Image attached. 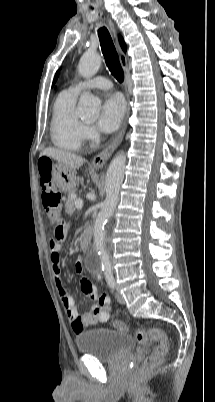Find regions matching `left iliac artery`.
Wrapping results in <instances>:
<instances>
[{
	"label": "left iliac artery",
	"instance_id": "44dca946",
	"mask_svg": "<svg viewBox=\"0 0 215 402\" xmlns=\"http://www.w3.org/2000/svg\"><path fill=\"white\" fill-rule=\"evenodd\" d=\"M107 284L111 289H114L115 288V279L113 277H108Z\"/></svg>",
	"mask_w": 215,
	"mask_h": 402
}]
</instances>
